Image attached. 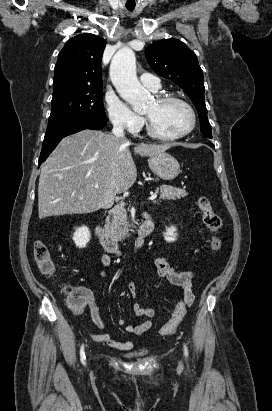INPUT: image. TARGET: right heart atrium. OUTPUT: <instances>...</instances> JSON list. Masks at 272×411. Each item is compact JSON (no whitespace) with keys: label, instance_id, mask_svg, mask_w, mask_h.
<instances>
[{"label":"right heart atrium","instance_id":"1","mask_svg":"<svg viewBox=\"0 0 272 411\" xmlns=\"http://www.w3.org/2000/svg\"><path fill=\"white\" fill-rule=\"evenodd\" d=\"M105 105L109 120L115 127L130 132H135L141 127L142 119L116 95L107 93Z\"/></svg>","mask_w":272,"mask_h":411}]
</instances>
